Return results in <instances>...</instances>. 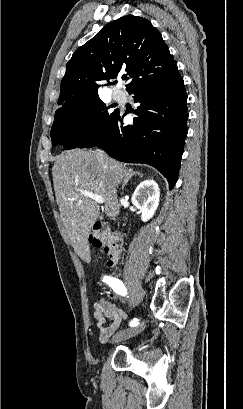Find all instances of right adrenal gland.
Masks as SVG:
<instances>
[{
    "instance_id": "obj_1",
    "label": "right adrenal gland",
    "mask_w": 243,
    "mask_h": 409,
    "mask_svg": "<svg viewBox=\"0 0 243 409\" xmlns=\"http://www.w3.org/2000/svg\"><path fill=\"white\" fill-rule=\"evenodd\" d=\"M133 175H141V173L140 172H134L133 174H132V176ZM131 176V177H132ZM131 177H129V178H127V179H125L124 181H123V184H122V191L124 190V188H125V186L128 184V182H129V180L131 179Z\"/></svg>"
}]
</instances>
